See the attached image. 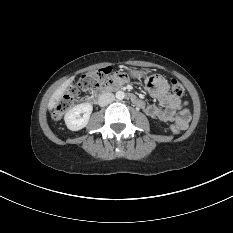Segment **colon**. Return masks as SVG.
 Instances as JSON below:
<instances>
[{
    "mask_svg": "<svg viewBox=\"0 0 233 233\" xmlns=\"http://www.w3.org/2000/svg\"><path fill=\"white\" fill-rule=\"evenodd\" d=\"M112 70L109 67L101 68L83 74L80 79L61 97L57 103L53 117L59 119L66 111H68L75 103L81 91H94L102 85H114L112 82ZM171 92L176 97H181L185 94L183 85L176 79L170 80ZM171 131L175 134L181 131L176 124L171 125Z\"/></svg>",
    "mask_w": 233,
    "mask_h": 233,
    "instance_id": "colon-1",
    "label": "colon"
}]
</instances>
